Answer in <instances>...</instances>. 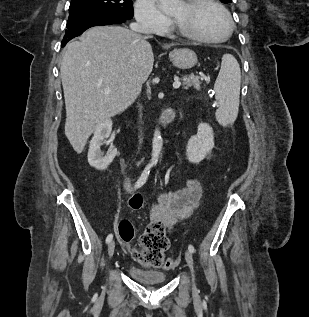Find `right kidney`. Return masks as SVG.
Wrapping results in <instances>:
<instances>
[{
  "label": "right kidney",
  "mask_w": 309,
  "mask_h": 317,
  "mask_svg": "<svg viewBox=\"0 0 309 317\" xmlns=\"http://www.w3.org/2000/svg\"><path fill=\"white\" fill-rule=\"evenodd\" d=\"M112 131V121L110 119L102 122L95 130L94 136L90 141L88 151V162L89 165L97 170L103 171L107 169L110 163L117 155V149L113 148L104 154L100 147L105 138H108Z\"/></svg>",
  "instance_id": "right-kidney-1"
}]
</instances>
